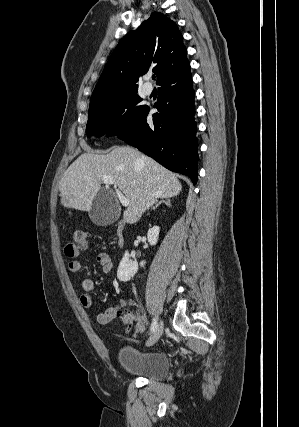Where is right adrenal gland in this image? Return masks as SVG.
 <instances>
[{"instance_id": "2a0ac1e0", "label": "right adrenal gland", "mask_w": 299, "mask_h": 427, "mask_svg": "<svg viewBox=\"0 0 299 427\" xmlns=\"http://www.w3.org/2000/svg\"><path fill=\"white\" fill-rule=\"evenodd\" d=\"M162 203H164V204H166L167 206H170L171 204H170V199L169 198H166V199H163V200H160L159 202H157L151 209H156V208H158Z\"/></svg>"}]
</instances>
